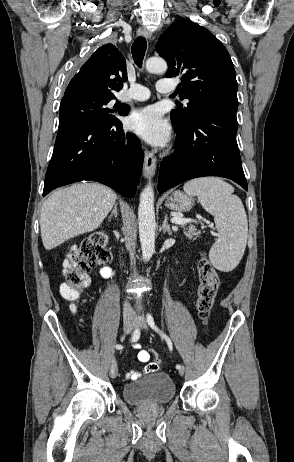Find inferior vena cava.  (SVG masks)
Masks as SVG:
<instances>
[{"label": "inferior vena cava", "mask_w": 294, "mask_h": 462, "mask_svg": "<svg viewBox=\"0 0 294 462\" xmlns=\"http://www.w3.org/2000/svg\"><path fill=\"white\" fill-rule=\"evenodd\" d=\"M133 309L131 307V305L129 304V302L126 300L123 304V313L126 315V314H129V313H132Z\"/></svg>", "instance_id": "602c4592"}]
</instances>
